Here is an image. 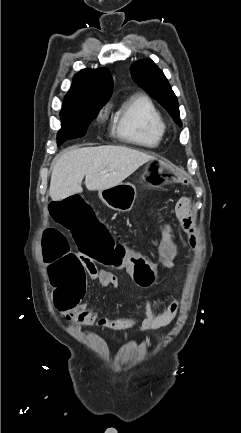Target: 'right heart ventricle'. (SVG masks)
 I'll return each instance as SVG.
<instances>
[{"instance_id": "e07e8e85", "label": "right heart ventricle", "mask_w": 241, "mask_h": 433, "mask_svg": "<svg viewBox=\"0 0 241 433\" xmlns=\"http://www.w3.org/2000/svg\"><path fill=\"white\" fill-rule=\"evenodd\" d=\"M164 128L161 112L144 94H134L127 98L116 111L113 120V132L118 139L143 148L158 146Z\"/></svg>"}]
</instances>
